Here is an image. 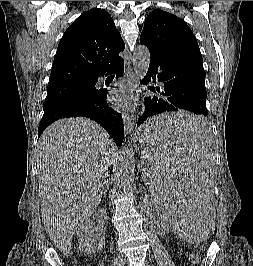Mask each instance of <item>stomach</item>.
Instances as JSON below:
<instances>
[{"label":"stomach","instance_id":"obj_1","mask_svg":"<svg viewBox=\"0 0 253 266\" xmlns=\"http://www.w3.org/2000/svg\"><path fill=\"white\" fill-rule=\"evenodd\" d=\"M155 135H153L151 132L145 131V126L139 130L137 133V139L141 143V145L144 147V150H146V139L147 138H154Z\"/></svg>","mask_w":253,"mask_h":266}]
</instances>
